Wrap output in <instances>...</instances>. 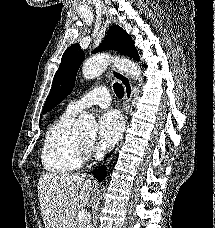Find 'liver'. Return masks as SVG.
Wrapping results in <instances>:
<instances>
[{
	"label": "liver",
	"mask_w": 215,
	"mask_h": 228,
	"mask_svg": "<svg viewBox=\"0 0 215 228\" xmlns=\"http://www.w3.org/2000/svg\"><path fill=\"white\" fill-rule=\"evenodd\" d=\"M85 174L49 172L39 178L38 198L45 228H75L77 206H87L94 180Z\"/></svg>",
	"instance_id": "obj_1"
}]
</instances>
